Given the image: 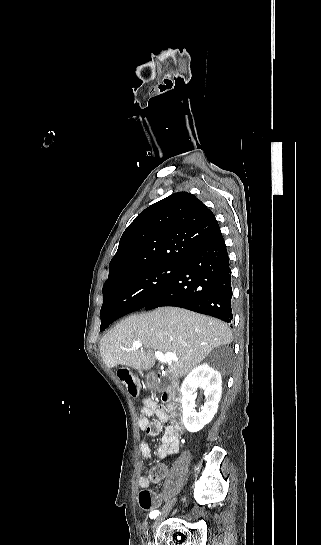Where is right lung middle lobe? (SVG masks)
I'll return each instance as SVG.
<instances>
[{
    "mask_svg": "<svg viewBox=\"0 0 321 545\" xmlns=\"http://www.w3.org/2000/svg\"><path fill=\"white\" fill-rule=\"evenodd\" d=\"M180 268L181 265L164 264L128 274L117 284L103 288V305L111 299H121L144 307L167 286ZM105 323L101 317L100 331Z\"/></svg>",
    "mask_w": 321,
    "mask_h": 545,
    "instance_id": "dd1d6c3e",
    "label": "right lung middle lobe"
}]
</instances>
